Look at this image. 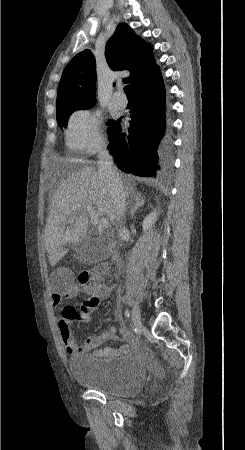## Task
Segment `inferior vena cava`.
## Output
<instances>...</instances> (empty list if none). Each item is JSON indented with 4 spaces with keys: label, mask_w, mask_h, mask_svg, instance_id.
I'll return each mask as SVG.
<instances>
[{
    "label": "inferior vena cava",
    "mask_w": 245,
    "mask_h": 450,
    "mask_svg": "<svg viewBox=\"0 0 245 450\" xmlns=\"http://www.w3.org/2000/svg\"><path fill=\"white\" fill-rule=\"evenodd\" d=\"M98 174L107 185L117 215L123 217L126 206V192L119 173L113 166V158L105 147L98 153ZM123 229H120L121 232Z\"/></svg>",
    "instance_id": "obj_1"
}]
</instances>
